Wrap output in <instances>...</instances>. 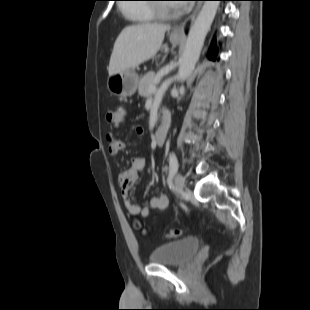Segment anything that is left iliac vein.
I'll return each mask as SVG.
<instances>
[{
	"label": "left iliac vein",
	"mask_w": 310,
	"mask_h": 310,
	"mask_svg": "<svg viewBox=\"0 0 310 310\" xmlns=\"http://www.w3.org/2000/svg\"><path fill=\"white\" fill-rule=\"evenodd\" d=\"M175 186L179 192H182L185 186V180L181 174H177L175 177Z\"/></svg>",
	"instance_id": "left-iliac-vein-1"
}]
</instances>
